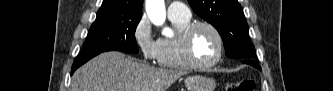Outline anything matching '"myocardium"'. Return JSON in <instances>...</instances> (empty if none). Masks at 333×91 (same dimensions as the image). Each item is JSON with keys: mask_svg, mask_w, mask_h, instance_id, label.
Segmentation results:
<instances>
[{"mask_svg": "<svg viewBox=\"0 0 333 91\" xmlns=\"http://www.w3.org/2000/svg\"><path fill=\"white\" fill-rule=\"evenodd\" d=\"M205 27L213 32L218 41V54L215 59L207 63L198 62L193 54V37L199 28ZM180 43L182 49V55L185 63L193 69H210L216 66L222 59L225 53V42L220 30L210 22L206 21H194L190 23L180 35Z\"/></svg>", "mask_w": 333, "mask_h": 91, "instance_id": "1", "label": "myocardium"}]
</instances>
